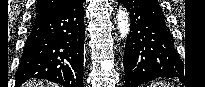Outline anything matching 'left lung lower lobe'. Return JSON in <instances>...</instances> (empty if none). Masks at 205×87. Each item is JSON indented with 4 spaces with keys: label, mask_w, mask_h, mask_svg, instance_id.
<instances>
[{
    "label": "left lung lower lobe",
    "mask_w": 205,
    "mask_h": 87,
    "mask_svg": "<svg viewBox=\"0 0 205 87\" xmlns=\"http://www.w3.org/2000/svg\"><path fill=\"white\" fill-rule=\"evenodd\" d=\"M131 19L123 65L125 87H138L158 77L182 76V62L157 0H118Z\"/></svg>",
    "instance_id": "1"
}]
</instances>
